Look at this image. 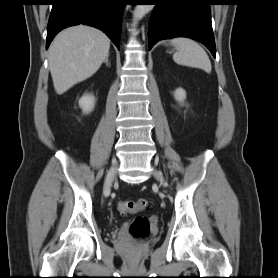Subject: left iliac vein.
Returning a JSON list of instances; mask_svg holds the SVG:
<instances>
[{
  "label": "left iliac vein",
  "mask_w": 278,
  "mask_h": 278,
  "mask_svg": "<svg viewBox=\"0 0 278 278\" xmlns=\"http://www.w3.org/2000/svg\"><path fill=\"white\" fill-rule=\"evenodd\" d=\"M154 175H155V177H156L158 180H160V181H161V183L165 184V182H164V178H163V176H162L161 172H159V171L155 170V171H154Z\"/></svg>",
  "instance_id": "left-iliac-vein-1"
}]
</instances>
